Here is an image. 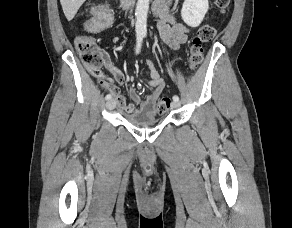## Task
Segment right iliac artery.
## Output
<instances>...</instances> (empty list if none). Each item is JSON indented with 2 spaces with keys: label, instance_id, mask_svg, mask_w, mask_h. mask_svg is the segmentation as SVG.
I'll return each instance as SVG.
<instances>
[{
  "label": "right iliac artery",
  "instance_id": "obj_1",
  "mask_svg": "<svg viewBox=\"0 0 292 228\" xmlns=\"http://www.w3.org/2000/svg\"><path fill=\"white\" fill-rule=\"evenodd\" d=\"M142 40H143V36L141 35H137V44H136V50L135 53L138 54L141 50V46H142ZM106 100H110L112 98L111 94L106 95Z\"/></svg>",
  "mask_w": 292,
  "mask_h": 228
}]
</instances>
